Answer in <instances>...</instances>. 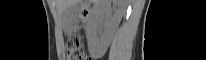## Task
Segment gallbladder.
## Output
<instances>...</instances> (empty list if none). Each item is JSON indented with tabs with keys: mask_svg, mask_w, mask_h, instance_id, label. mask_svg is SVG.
I'll return each instance as SVG.
<instances>
[{
	"mask_svg": "<svg viewBox=\"0 0 206 60\" xmlns=\"http://www.w3.org/2000/svg\"><path fill=\"white\" fill-rule=\"evenodd\" d=\"M80 14L81 6L79 2H75L66 8L61 14L63 28L67 30L74 28L80 20Z\"/></svg>",
	"mask_w": 206,
	"mask_h": 60,
	"instance_id": "1",
	"label": "gallbladder"
}]
</instances>
